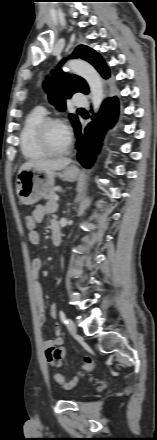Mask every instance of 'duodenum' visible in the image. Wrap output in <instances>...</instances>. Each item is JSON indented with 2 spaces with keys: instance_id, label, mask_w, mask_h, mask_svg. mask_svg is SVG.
Returning a JSON list of instances; mask_svg holds the SVG:
<instances>
[{
  "instance_id": "duodenum-1",
  "label": "duodenum",
  "mask_w": 157,
  "mask_h": 440,
  "mask_svg": "<svg viewBox=\"0 0 157 440\" xmlns=\"http://www.w3.org/2000/svg\"><path fill=\"white\" fill-rule=\"evenodd\" d=\"M51 230H52V244L57 246L61 243V231L59 225L58 227L57 226L53 227Z\"/></svg>"
}]
</instances>
